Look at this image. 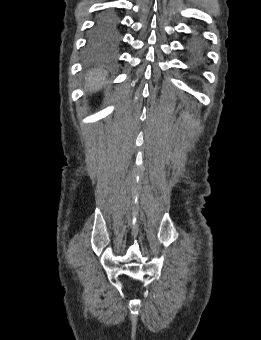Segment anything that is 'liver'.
<instances>
[{
	"instance_id": "liver-1",
	"label": "liver",
	"mask_w": 261,
	"mask_h": 340,
	"mask_svg": "<svg viewBox=\"0 0 261 340\" xmlns=\"http://www.w3.org/2000/svg\"><path fill=\"white\" fill-rule=\"evenodd\" d=\"M107 74L101 70H92L87 73L86 88L90 91L103 87L106 83Z\"/></svg>"
}]
</instances>
